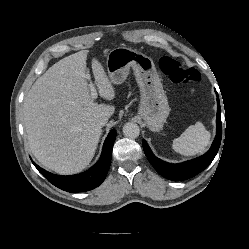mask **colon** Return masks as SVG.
<instances>
[{"label":"colon","instance_id":"1","mask_svg":"<svg viewBox=\"0 0 249 249\" xmlns=\"http://www.w3.org/2000/svg\"><path fill=\"white\" fill-rule=\"evenodd\" d=\"M159 66L161 71L176 84L188 85L200 80V74L197 70L185 67L179 60L163 57L159 62Z\"/></svg>","mask_w":249,"mask_h":249}]
</instances>
